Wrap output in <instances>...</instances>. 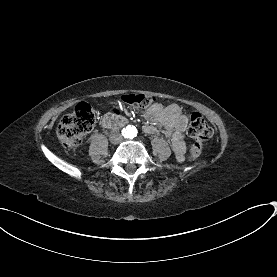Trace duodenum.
I'll return each mask as SVG.
<instances>
[{
	"label": "duodenum",
	"mask_w": 277,
	"mask_h": 277,
	"mask_svg": "<svg viewBox=\"0 0 277 277\" xmlns=\"http://www.w3.org/2000/svg\"><path fill=\"white\" fill-rule=\"evenodd\" d=\"M127 124V120L123 117L108 115L101 120V126L104 128H121Z\"/></svg>",
	"instance_id": "obj_1"
}]
</instances>
